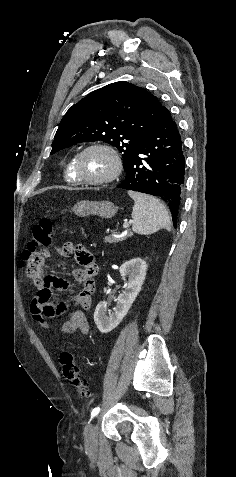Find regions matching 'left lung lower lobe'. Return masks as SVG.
I'll return each mask as SVG.
<instances>
[{
  "label": "left lung lower lobe",
  "mask_w": 236,
  "mask_h": 477,
  "mask_svg": "<svg viewBox=\"0 0 236 477\" xmlns=\"http://www.w3.org/2000/svg\"><path fill=\"white\" fill-rule=\"evenodd\" d=\"M118 188L161 197L167 202L174 227L181 207L185 159L182 142L170 111L163 107L160 118L125 168Z\"/></svg>",
  "instance_id": "0a47b994"
}]
</instances>
